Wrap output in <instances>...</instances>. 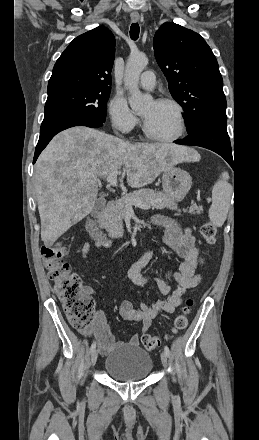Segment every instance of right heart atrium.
<instances>
[{
  "label": "right heart atrium",
  "mask_w": 259,
  "mask_h": 440,
  "mask_svg": "<svg viewBox=\"0 0 259 440\" xmlns=\"http://www.w3.org/2000/svg\"><path fill=\"white\" fill-rule=\"evenodd\" d=\"M107 112L112 128L118 133H131L139 125L138 117L120 95H115L109 101Z\"/></svg>",
  "instance_id": "1"
}]
</instances>
